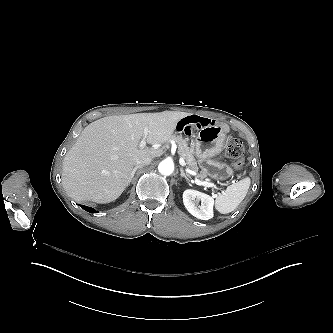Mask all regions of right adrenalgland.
Wrapping results in <instances>:
<instances>
[{
    "mask_svg": "<svg viewBox=\"0 0 333 333\" xmlns=\"http://www.w3.org/2000/svg\"><path fill=\"white\" fill-rule=\"evenodd\" d=\"M139 168H141V166H136V167L133 169V172H132V175H131V177H130V179H129V181H128L127 187H129L130 182H131V179L133 178V176H134L136 170L139 169Z\"/></svg>",
    "mask_w": 333,
    "mask_h": 333,
    "instance_id": "right-adrenal-gland-1",
    "label": "right adrenal gland"
}]
</instances>
